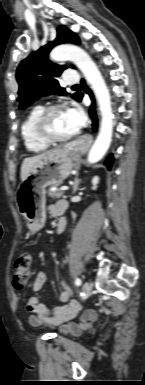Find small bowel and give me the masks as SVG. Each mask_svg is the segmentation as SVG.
Returning <instances> with one entry per match:
<instances>
[{"instance_id": "1", "label": "small bowel", "mask_w": 145, "mask_h": 385, "mask_svg": "<svg viewBox=\"0 0 145 385\" xmlns=\"http://www.w3.org/2000/svg\"><path fill=\"white\" fill-rule=\"evenodd\" d=\"M67 208L65 200L49 206L50 215L60 216ZM46 281V273L40 271L37 273L32 289L38 292ZM72 291L68 285L61 283V292L58 299L63 305L49 308L39 300V297L33 295L28 303L27 310L32 313L29 317L31 325H47L52 328H58L64 334L77 335L84 329H87L96 320L98 314L95 310H85L79 317L81 311L80 303L71 298ZM78 317V318H77ZM77 318V319H76Z\"/></svg>"}]
</instances>
